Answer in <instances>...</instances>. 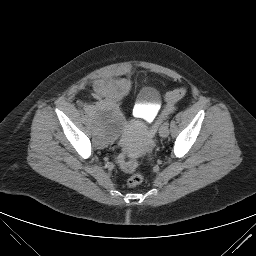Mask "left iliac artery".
Wrapping results in <instances>:
<instances>
[{"label": "left iliac artery", "instance_id": "obj_1", "mask_svg": "<svg viewBox=\"0 0 256 256\" xmlns=\"http://www.w3.org/2000/svg\"><path fill=\"white\" fill-rule=\"evenodd\" d=\"M165 124H168V125H169L168 121H166Z\"/></svg>", "mask_w": 256, "mask_h": 256}]
</instances>
